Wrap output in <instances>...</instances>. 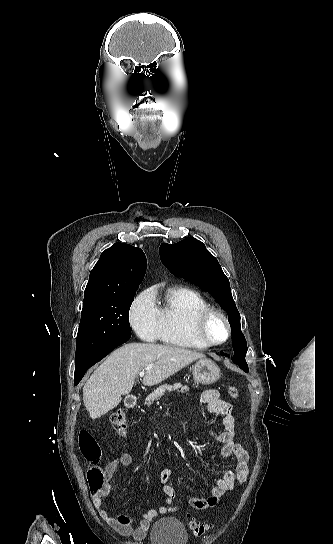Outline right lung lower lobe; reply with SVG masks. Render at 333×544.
<instances>
[{
    "label": "right lung lower lobe",
    "instance_id": "98d812e1",
    "mask_svg": "<svg viewBox=\"0 0 333 544\" xmlns=\"http://www.w3.org/2000/svg\"><path fill=\"white\" fill-rule=\"evenodd\" d=\"M131 336V335H130ZM130 336H122L111 342L110 344L106 345L102 349H100L98 352L93 354L91 357L83 361L81 364L75 366V381L74 384L77 385L80 380L83 378L85 372L93 366L96 362H99L101 359H103L106 355H108L113 349H115L117 346L127 342L130 338Z\"/></svg>",
    "mask_w": 333,
    "mask_h": 544
}]
</instances>
